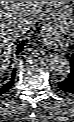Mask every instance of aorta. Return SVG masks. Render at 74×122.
Instances as JSON below:
<instances>
[{
    "label": "aorta",
    "mask_w": 74,
    "mask_h": 122,
    "mask_svg": "<svg viewBox=\"0 0 74 122\" xmlns=\"http://www.w3.org/2000/svg\"><path fill=\"white\" fill-rule=\"evenodd\" d=\"M48 70L55 75H67L70 72L68 60L59 54H50L46 58Z\"/></svg>",
    "instance_id": "obj_1"
}]
</instances>
